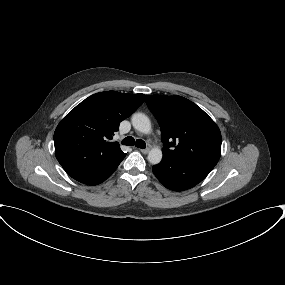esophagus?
<instances>
[{"label": "esophagus", "instance_id": "obj_1", "mask_svg": "<svg viewBox=\"0 0 285 285\" xmlns=\"http://www.w3.org/2000/svg\"><path fill=\"white\" fill-rule=\"evenodd\" d=\"M140 151H141L143 154H147V153L149 152V149H148V148L140 149Z\"/></svg>", "mask_w": 285, "mask_h": 285}]
</instances>
